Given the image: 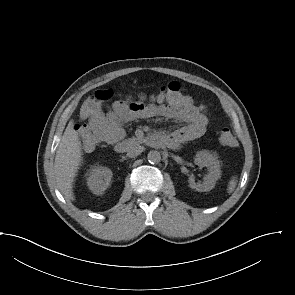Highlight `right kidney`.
<instances>
[{
  "instance_id": "obj_1",
  "label": "right kidney",
  "mask_w": 295,
  "mask_h": 295,
  "mask_svg": "<svg viewBox=\"0 0 295 295\" xmlns=\"http://www.w3.org/2000/svg\"><path fill=\"white\" fill-rule=\"evenodd\" d=\"M87 185L89 189L96 195L103 192L110 185L112 171L107 167L94 166L87 173Z\"/></svg>"
}]
</instances>
